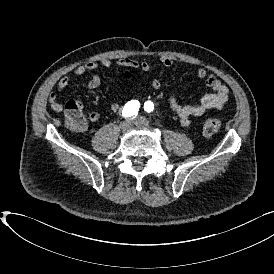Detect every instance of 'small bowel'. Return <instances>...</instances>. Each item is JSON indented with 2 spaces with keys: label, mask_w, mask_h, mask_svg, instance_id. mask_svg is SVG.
<instances>
[{
  "label": "small bowel",
  "mask_w": 274,
  "mask_h": 274,
  "mask_svg": "<svg viewBox=\"0 0 274 274\" xmlns=\"http://www.w3.org/2000/svg\"><path fill=\"white\" fill-rule=\"evenodd\" d=\"M162 65L171 67L174 63L173 59L168 56H162L160 58ZM113 61L108 58H102L99 61H88L78 66L73 74L75 77H80L84 74L90 73V79L86 84V88L89 90L97 89L102 84L101 77L94 71L98 67L110 68L113 66ZM118 67L139 69L143 72L151 70V64L146 60L137 61L131 58H119L115 61ZM197 78L203 80L210 91L201 97V99L192 104H180L176 98L172 95L168 97V104L170 109L178 116L180 123L183 127H190L191 120L195 116L205 114L210 110L222 109L228 100L229 90L226 85L213 73H209L206 67H199L197 69ZM70 82L68 75L63 76L58 82V91L64 90ZM151 87L155 90L160 89L161 82L158 79H152ZM49 103L52 110L61 112L64 109V105L56 100V94L52 92L49 96ZM109 108L113 112H120L122 106L117 102H111ZM101 114L97 111H92L88 114V122L86 124V130L90 124L99 122ZM85 130V131H86Z\"/></svg>",
  "instance_id": "c3829d8e"
}]
</instances>
